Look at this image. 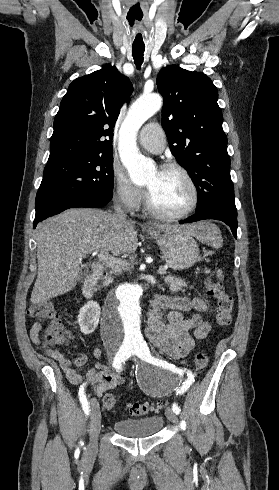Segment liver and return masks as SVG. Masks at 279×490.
Masks as SVG:
<instances>
[{
    "mask_svg": "<svg viewBox=\"0 0 279 490\" xmlns=\"http://www.w3.org/2000/svg\"><path fill=\"white\" fill-rule=\"evenodd\" d=\"M134 224L91 208L66 210L38 224L35 230L38 274L31 294L32 304H44L73 290L82 276V260L88 254H134L138 248ZM155 226L162 232L178 230L194 238H199L205 230V222L191 226Z\"/></svg>",
    "mask_w": 279,
    "mask_h": 490,
    "instance_id": "6515ba94",
    "label": "liver"
}]
</instances>
